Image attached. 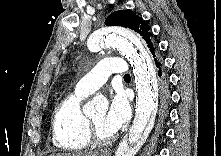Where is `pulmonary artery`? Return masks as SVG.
Wrapping results in <instances>:
<instances>
[{"label":"pulmonary artery","instance_id":"e3ab8cb5","mask_svg":"<svg viewBox=\"0 0 221 156\" xmlns=\"http://www.w3.org/2000/svg\"><path fill=\"white\" fill-rule=\"evenodd\" d=\"M127 73L128 65L122 58H105L81 78L76 85V90L88 96L105 84L110 75Z\"/></svg>","mask_w":221,"mask_h":156}]
</instances>
